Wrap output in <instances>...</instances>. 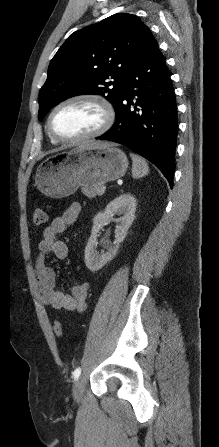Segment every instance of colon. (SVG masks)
<instances>
[{
  "instance_id": "5ec220e1",
  "label": "colon",
  "mask_w": 219,
  "mask_h": 447,
  "mask_svg": "<svg viewBox=\"0 0 219 447\" xmlns=\"http://www.w3.org/2000/svg\"><path fill=\"white\" fill-rule=\"evenodd\" d=\"M46 222V215L41 208H36L33 213V223L36 226H41ZM53 331L57 336H62L64 333L63 325L61 322L56 321L53 324Z\"/></svg>"
}]
</instances>
